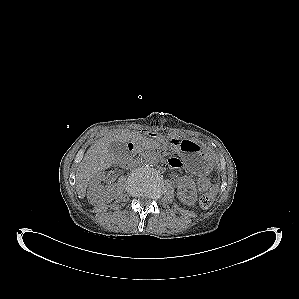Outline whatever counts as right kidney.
Segmentation results:
<instances>
[{"label":"right kidney","mask_w":299,"mask_h":299,"mask_svg":"<svg viewBox=\"0 0 299 299\" xmlns=\"http://www.w3.org/2000/svg\"><path fill=\"white\" fill-rule=\"evenodd\" d=\"M106 180L104 172L98 173L88 184L87 199L92 205L110 203L115 197L114 185L103 186L101 181Z\"/></svg>","instance_id":"1"}]
</instances>
